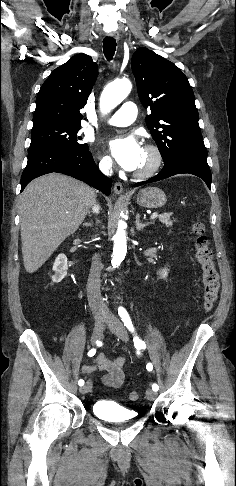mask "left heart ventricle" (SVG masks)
Masks as SVG:
<instances>
[{"label": "left heart ventricle", "instance_id": "obj_1", "mask_svg": "<svg viewBox=\"0 0 236 486\" xmlns=\"http://www.w3.org/2000/svg\"><path fill=\"white\" fill-rule=\"evenodd\" d=\"M151 163V156L148 152L143 150L141 161L136 169V171L146 169Z\"/></svg>", "mask_w": 236, "mask_h": 486}]
</instances>
